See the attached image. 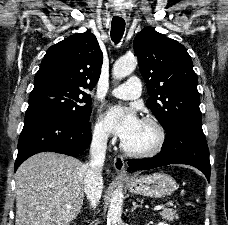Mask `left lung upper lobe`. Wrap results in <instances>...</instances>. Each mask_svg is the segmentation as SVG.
<instances>
[{
	"label": "left lung upper lobe",
	"instance_id": "1",
	"mask_svg": "<svg viewBox=\"0 0 228 225\" xmlns=\"http://www.w3.org/2000/svg\"><path fill=\"white\" fill-rule=\"evenodd\" d=\"M133 48L150 95L147 107L164 129L179 123L202 126L197 76L185 47L146 27Z\"/></svg>",
	"mask_w": 228,
	"mask_h": 225
}]
</instances>
